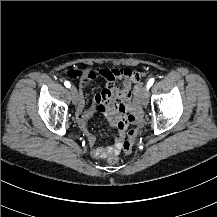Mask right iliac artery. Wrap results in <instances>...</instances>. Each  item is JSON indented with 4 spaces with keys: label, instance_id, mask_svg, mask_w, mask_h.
<instances>
[{
    "label": "right iliac artery",
    "instance_id": "1",
    "mask_svg": "<svg viewBox=\"0 0 217 217\" xmlns=\"http://www.w3.org/2000/svg\"><path fill=\"white\" fill-rule=\"evenodd\" d=\"M64 85L67 87V88H70L71 84L68 82V81H65L64 82Z\"/></svg>",
    "mask_w": 217,
    "mask_h": 217
}]
</instances>
